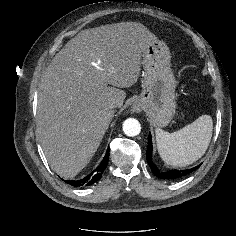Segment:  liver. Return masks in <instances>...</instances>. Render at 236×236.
I'll return each mask as SVG.
<instances>
[{"label":"liver","mask_w":236,"mask_h":236,"mask_svg":"<svg viewBox=\"0 0 236 236\" xmlns=\"http://www.w3.org/2000/svg\"><path fill=\"white\" fill-rule=\"evenodd\" d=\"M156 41L144 25L121 22L83 30L55 55L39 84L37 131L58 175L73 178L89 163L114 116L109 104L123 105L119 88L137 82Z\"/></svg>","instance_id":"obj_1"}]
</instances>
